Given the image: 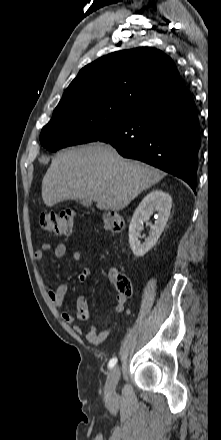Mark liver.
I'll return each mask as SVG.
<instances>
[{"label": "liver", "mask_w": 221, "mask_h": 440, "mask_svg": "<svg viewBox=\"0 0 221 440\" xmlns=\"http://www.w3.org/2000/svg\"><path fill=\"white\" fill-rule=\"evenodd\" d=\"M165 173L122 158L110 145L93 143L57 154L43 177L46 206L67 200H91L100 210L119 211Z\"/></svg>", "instance_id": "1"}]
</instances>
